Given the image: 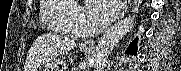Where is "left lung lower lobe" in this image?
Returning a JSON list of instances; mask_svg holds the SVG:
<instances>
[{
	"label": "left lung lower lobe",
	"instance_id": "obj_1",
	"mask_svg": "<svg viewBox=\"0 0 181 71\" xmlns=\"http://www.w3.org/2000/svg\"><path fill=\"white\" fill-rule=\"evenodd\" d=\"M126 53H127V54H131V55H136V53H137V44H136V40L133 41V42L129 45V47H128Z\"/></svg>",
	"mask_w": 181,
	"mask_h": 71
}]
</instances>
